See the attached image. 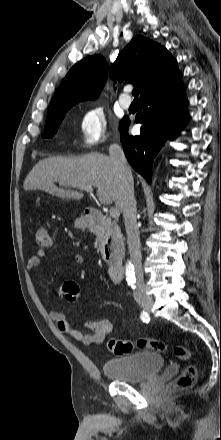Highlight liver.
<instances>
[{
	"label": "liver",
	"instance_id": "1",
	"mask_svg": "<svg viewBox=\"0 0 221 440\" xmlns=\"http://www.w3.org/2000/svg\"><path fill=\"white\" fill-rule=\"evenodd\" d=\"M61 185L79 188L95 187L101 204L115 202L119 211L120 181L110 157L101 153H89L76 158L50 157L39 161L27 175L23 188L26 191L42 190L61 198L80 200L82 192L58 188Z\"/></svg>",
	"mask_w": 221,
	"mask_h": 440
}]
</instances>
